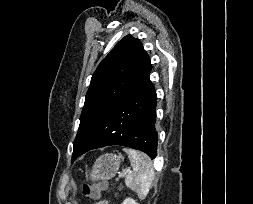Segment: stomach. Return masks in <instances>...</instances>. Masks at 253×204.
<instances>
[{"instance_id": "1", "label": "stomach", "mask_w": 253, "mask_h": 204, "mask_svg": "<svg viewBox=\"0 0 253 204\" xmlns=\"http://www.w3.org/2000/svg\"><path fill=\"white\" fill-rule=\"evenodd\" d=\"M123 160L124 157L122 155L111 153L102 155L95 161L91 172L87 174V178L92 181H107L112 179L118 173Z\"/></svg>"}]
</instances>
